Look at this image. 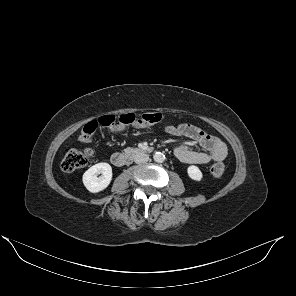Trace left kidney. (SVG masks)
Returning <instances> with one entry per match:
<instances>
[{"instance_id": "obj_1", "label": "left kidney", "mask_w": 296, "mask_h": 296, "mask_svg": "<svg viewBox=\"0 0 296 296\" xmlns=\"http://www.w3.org/2000/svg\"><path fill=\"white\" fill-rule=\"evenodd\" d=\"M188 176L195 181H200L203 178V174L197 166L191 165L187 168Z\"/></svg>"}]
</instances>
